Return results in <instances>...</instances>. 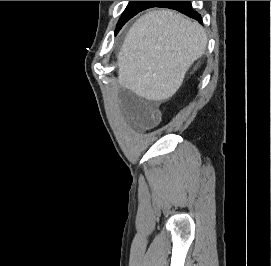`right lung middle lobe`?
I'll return each mask as SVG.
<instances>
[{
  "label": "right lung middle lobe",
  "mask_w": 271,
  "mask_h": 266,
  "mask_svg": "<svg viewBox=\"0 0 271 266\" xmlns=\"http://www.w3.org/2000/svg\"><path fill=\"white\" fill-rule=\"evenodd\" d=\"M159 1H130L125 11L122 13L121 18L117 24L115 34L122 28V26L133 16L140 11L154 7Z\"/></svg>",
  "instance_id": "obj_1"
}]
</instances>
